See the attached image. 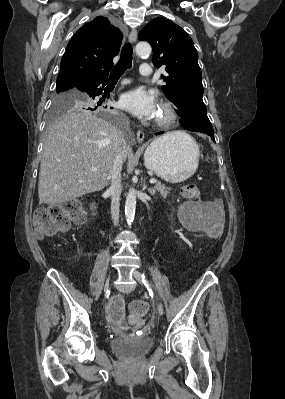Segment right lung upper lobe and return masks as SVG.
<instances>
[{"label":"right lung upper lobe","instance_id":"1","mask_svg":"<svg viewBox=\"0 0 285 399\" xmlns=\"http://www.w3.org/2000/svg\"><path fill=\"white\" fill-rule=\"evenodd\" d=\"M122 38L120 30L106 17H96L83 25L67 45L56 88L74 89L86 78L108 77Z\"/></svg>","mask_w":285,"mask_h":399}]
</instances>
